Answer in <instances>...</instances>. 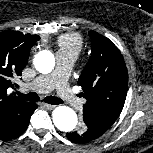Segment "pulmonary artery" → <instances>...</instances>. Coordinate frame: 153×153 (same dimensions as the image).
Returning <instances> with one entry per match:
<instances>
[{"instance_id": "e3ab8cb5", "label": "pulmonary artery", "mask_w": 153, "mask_h": 153, "mask_svg": "<svg viewBox=\"0 0 153 153\" xmlns=\"http://www.w3.org/2000/svg\"><path fill=\"white\" fill-rule=\"evenodd\" d=\"M75 59L76 56L73 54L57 52L55 70L50 74L37 77L34 81L27 84L26 88L42 93L56 89L63 101L75 107L81 106L83 100L77 98L67 84V79Z\"/></svg>"}]
</instances>
